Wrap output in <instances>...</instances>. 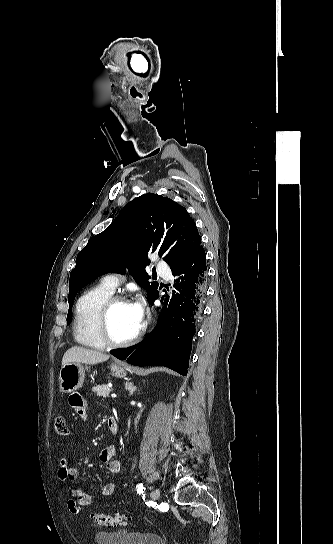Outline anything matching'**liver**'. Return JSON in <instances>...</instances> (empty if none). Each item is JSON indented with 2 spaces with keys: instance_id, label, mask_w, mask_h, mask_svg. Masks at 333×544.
Masks as SVG:
<instances>
[{
  "instance_id": "obj_1",
  "label": "liver",
  "mask_w": 333,
  "mask_h": 544,
  "mask_svg": "<svg viewBox=\"0 0 333 544\" xmlns=\"http://www.w3.org/2000/svg\"><path fill=\"white\" fill-rule=\"evenodd\" d=\"M109 357V355L96 350L74 346L68 349L63 355L62 366L71 362L94 365L107 361Z\"/></svg>"
}]
</instances>
